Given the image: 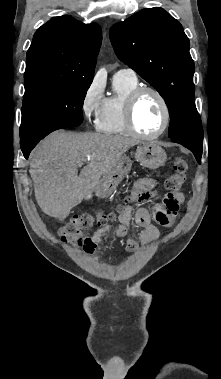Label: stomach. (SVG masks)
I'll return each instance as SVG.
<instances>
[{
	"mask_svg": "<svg viewBox=\"0 0 221 379\" xmlns=\"http://www.w3.org/2000/svg\"><path fill=\"white\" fill-rule=\"evenodd\" d=\"M136 161L149 169H157L162 166L166 159L165 151L154 142H146L137 147L135 152ZM132 161L126 155L122 156L117 164L105 175H103L95 192L98 197L109 196L130 172Z\"/></svg>",
	"mask_w": 221,
	"mask_h": 379,
	"instance_id": "obj_1",
	"label": "stomach"
}]
</instances>
